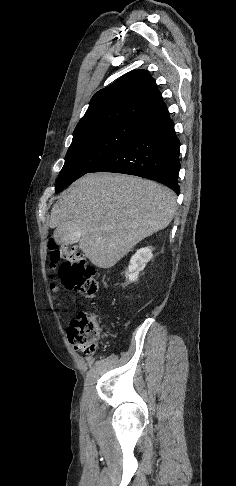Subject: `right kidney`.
<instances>
[{
	"mask_svg": "<svg viewBox=\"0 0 236 486\" xmlns=\"http://www.w3.org/2000/svg\"><path fill=\"white\" fill-rule=\"evenodd\" d=\"M153 257L151 247H145L137 250L131 257L130 264L125 273V277L129 282H136L138 280L139 272L142 271L146 263Z\"/></svg>",
	"mask_w": 236,
	"mask_h": 486,
	"instance_id": "ca27d5eb",
	"label": "right kidney"
}]
</instances>
